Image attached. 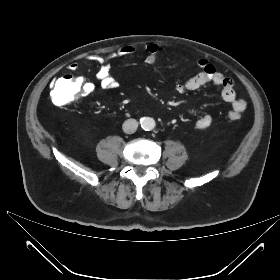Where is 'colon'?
I'll return each instance as SVG.
<instances>
[{
    "instance_id": "obj_1",
    "label": "colon",
    "mask_w": 280,
    "mask_h": 280,
    "mask_svg": "<svg viewBox=\"0 0 280 280\" xmlns=\"http://www.w3.org/2000/svg\"><path fill=\"white\" fill-rule=\"evenodd\" d=\"M82 80L72 75L57 77L51 88L50 99L55 106H65L77 100L81 92ZM240 115L234 114L232 119L237 120Z\"/></svg>"
}]
</instances>
